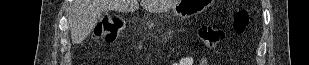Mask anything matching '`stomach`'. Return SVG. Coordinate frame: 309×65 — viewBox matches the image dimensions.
Wrapping results in <instances>:
<instances>
[{
    "instance_id": "1",
    "label": "stomach",
    "mask_w": 309,
    "mask_h": 65,
    "mask_svg": "<svg viewBox=\"0 0 309 65\" xmlns=\"http://www.w3.org/2000/svg\"><path fill=\"white\" fill-rule=\"evenodd\" d=\"M213 3L212 0H181L173 9L174 14L185 19L202 13Z\"/></svg>"
}]
</instances>
